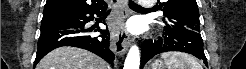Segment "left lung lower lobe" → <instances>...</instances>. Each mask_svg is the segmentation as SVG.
Wrapping results in <instances>:
<instances>
[{
  "label": "left lung lower lobe",
  "mask_w": 246,
  "mask_h": 69,
  "mask_svg": "<svg viewBox=\"0 0 246 69\" xmlns=\"http://www.w3.org/2000/svg\"><path fill=\"white\" fill-rule=\"evenodd\" d=\"M164 34V38H159L154 42L151 40L144 41L142 45L141 68L153 56L168 51H181L192 54L203 60L205 65L208 66L203 50V40L198 32L186 29H166Z\"/></svg>",
  "instance_id": "0a47b994"
}]
</instances>
